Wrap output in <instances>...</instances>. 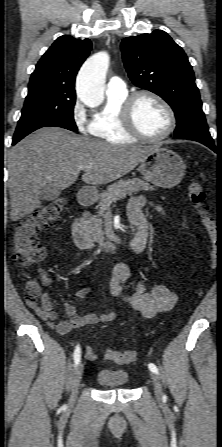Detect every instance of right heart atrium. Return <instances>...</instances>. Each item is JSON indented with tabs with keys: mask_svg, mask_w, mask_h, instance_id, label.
Returning a JSON list of instances; mask_svg holds the SVG:
<instances>
[{
	"mask_svg": "<svg viewBox=\"0 0 222 447\" xmlns=\"http://www.w3.org/2000/svg\"><path fill=\"white\" fill-rule=\"evenodd\" d=\"M72 117L74 124L78 131L82 133L90 132L91 122L88 121L85 110L81 107L80 104L76 103L73 111Z\"/></svg>",
	"mask_w": 222,
	"mask_h": 447,
	"instance_id": "d8ad5b80",
	"label": "right heart atrium"
}]
</instances>
